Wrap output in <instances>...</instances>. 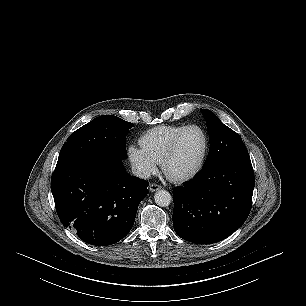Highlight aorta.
Wrapping results in <instances>:
<instances>
[{
    "label": "aorta",
    "mask_w": 306,
    "mask_h": 306,
    "mask_svg": "<svg viewBox=\"0 0 306 306\" xmlns=\"http://www.w3.org/2000/svg\"><path fill=\"white\" fill-rule=\"evenodd\" d=\"M154 199L158 206L166 207L170 205L172 196L166 190H159L155 193Z\"/></svg>",
    "instance_id": "762f6f07"
}]
</instances>
